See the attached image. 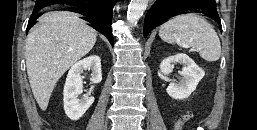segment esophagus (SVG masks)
<instances>
[{"label": "esophagus", "instance_id": "34e87169", "mask_svg": "<svg viewBox=\"0 0 257 130\" xmlns=\"http://www.w3.org/2000/svg\"><path fill=\"white\" fill-rule=\"evenodd\" d=\"M155 0H149L150 5H152L154 3Z\"/></svg>", "mask_w": 257, "mask_h": 130}]
</instances>
